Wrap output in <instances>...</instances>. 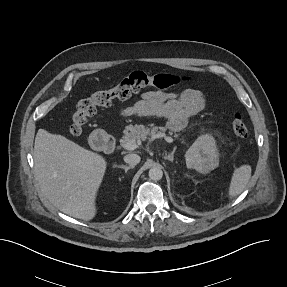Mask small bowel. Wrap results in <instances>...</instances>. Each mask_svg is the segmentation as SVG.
I'll return each mask as SVG.
<instances>
[{
  "label": "small bowel",
  "instance_id": "small-bowel-1",
  "mask_svg": "<svg viewBox=\"0 0 287 287\" xmlns=\"http://www.w3.org/2000/svg\"><path fill=\"white\" fill-rule=\"evenodd\" d=\"M205 106L203 94L196 89H184L180 92L148 91L123 109L124 116H156L167 120L172 131L184 128L191 117Z\"/></svg>",
  "mask_w": 287,
  "mask_h": 287
}]
</instances>
